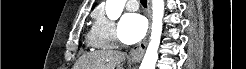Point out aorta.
Returning a JSON list of instances; mask_svg holds the SVG:
<instances>
[{
    "mask_svg": "<svg viewBox=\"0 0 246 69\" xmlns=\"http://www.w3.org/2000/svg\"><path fill=\"white\" fill-rule=\"evenodd\" d=\"M126 0H106V15L110 20L120 17ZM152 31L150 42L142 60L140 69H155L158 60V49L162 34V19L164 16V0H152Z\"/></svg>",
    "mask_w": 246,
    "mask_h": 69,
    "instance_id": "obj_1",
    "label": "aorta"
}]
</instances>
